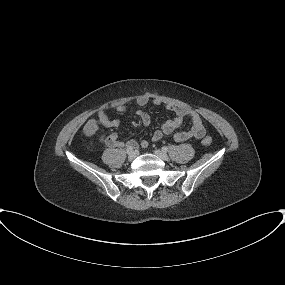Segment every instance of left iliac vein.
<instances>
[{
  "label": "left iliac vein",
  "mask_w": 285,
  "mask_h": 285,
  "mask_svg": "<svg viewBox=\"0 0 285 285\" xmlns=\"http://www.w3.org/2000/svg\"><path fill=\"white\" fill-rule=\"evenodd\" d=\"M154 153L162 160H167L168 159V155L161 150H155Z\"/></svg>",
  "instance_id": "4c4485c4"
}]
</instances>
